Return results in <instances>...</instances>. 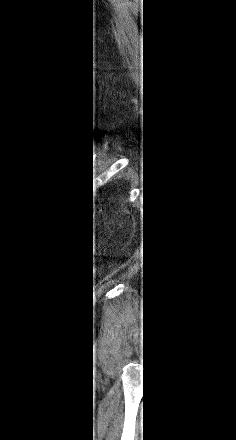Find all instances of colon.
<instances>
[{
  "mask_svg": "<svg viewBox=\"0 0 236 440\" xmlns=\"http://www.w3.org/2000/svg\"><path fill=\"white\" fill-rule=\"evenodd\" d=\"M82 212L84 214H87L89 212V209L86 206H83Z\"/></svg>",
  "mask_w": 236,
  "mask_h": 440,
  "instance_id": "1",
  "label": "colon"
}]
</instances>
